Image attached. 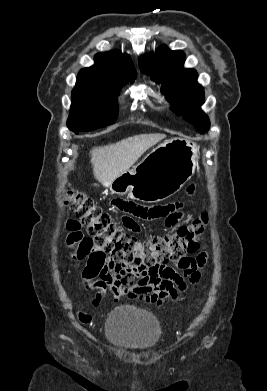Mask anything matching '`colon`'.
I'll return each instance as SVG.
<instances>
[{"label": "colon", "instance_id": "1", "mask_svg": "<svg viewBox=\"0 0 267 391\" xmlns=\"http://www.w3.org/2000/svg\"><path fill=\"white\" fill-rule=\"evenodd\" d=\"M62 199L87 229V236L74 239L83 252H100L126 266H139L155 272L172 262L179 264L188 253L200 247L208 216L180 226L175 233L139 240L121 231L113 219L89 197L65 189Z\"/></svg>", "mask_w": 267, "mask_h": 391}]
</instances>
